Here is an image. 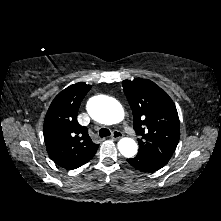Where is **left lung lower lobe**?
I'll return each mask as SVG.
<instances>
[{"instance_id": "1", "label": "left lung lower lobe", "mask_w": 221, "mask_h": 221, "mask_svg": "<svg viewBox=\"0 0 221 221\" xmlns=\"http://www.w3.org/2000/svg\"><path fill=\"white\" fill-rule=\"evenodd\" d=\"M127 161L136 169L147 173L155 172L166 165L141 153H138L134 158L127 159Z\"/></svg>"}]
</instances>
